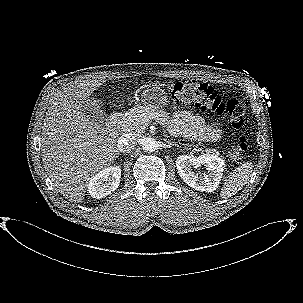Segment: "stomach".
Returning <instances> with one entry per match:
<instances>
[{"mask_svg":"<svg viewBox=\"0 0 303 303\" xmlns=\"http://www.w3.org/2000/svg\"><path fill=\"white\" fill-rule=\"evenodd\" d=\"M141 103L150 109H159L167 105L168 97L160 84H147L143 87Z\"/></svg>","mask_w":303,"mask_h":303,"instance_id":"0dacf381","label":"stomach"}]
</instances>
